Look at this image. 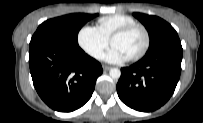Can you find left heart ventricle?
Here are the masks:
<instances>
[{
  "instance_id": "b2bd125f",
  "label": "left heart ventricle",
  "mask_w": 203,
  "mask_h": 123,
  "mask_svg": "<svg viewBox=\"0 0 203 123\" xmlns=\"http://www.w3.org/2000/svg\"><path fill=\"white\" fill-rule=\"evenodd\" d=\"M145 37L140 29L116 38L112 46L121 50L128 58L136 55L144 46Z\"/></svg>"
}]
</instances>
